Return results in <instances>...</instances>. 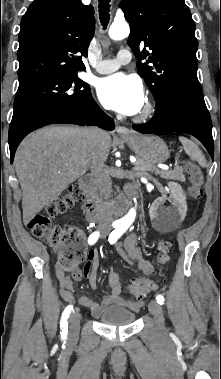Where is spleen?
I'll return each instance as SVG.
<instances>
[{
	"mask_svg": "<svg viewBox=\"0 0 221 379\" xmlns=\"http://www.w3.org/2000/svg\"><path fill=\"white\" fill-rule=\"evenodd\" d=\"M180 142L183 145V148L186 152V154L192 159L198 162V164L202 167H207L206 159L201 152V150L198 148V146L192 142L191 140L185 138V137H179Z\"/></svg>",
	"mask_w": 221,
	"mask_h": 379,
	"instance_id": "3e777b00",
	"label": "spleen"
}]
</instances>
